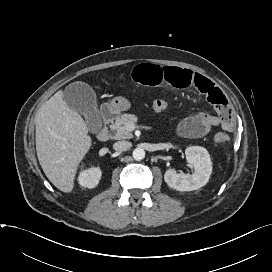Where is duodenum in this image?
Listing matches in <instances>:
<instances>
[{
  "instance_id": "duodenum-1",
  "label": "duodenum",
  "mask_w": 272,
  "mask_h": 272,
  "mask_svg": "<svg viewBox=\"0 0 272 272\" xmlns=\"http://www.w3.org/2000/svg\"><path fill=\"white\" fill-rule=\"evenodd\" d=\"M115 111L110 107H105L101 112L100 128L97 132V138L100 141H106L109 138L107 125L114 119Z\"/></svg>"
}]
</instances>
